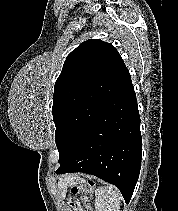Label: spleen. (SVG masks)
<instances>
[{
	"label": "spleen",
	"instance_id": "spleen-1",
	"mask_svg": "<svg viewBox=\"0 0 178 211\" xmlns=\"http://www.w3.org/2000/svg\"><path fill=\"white\" fill-rule=\"evenodd\" d=\"M120 191L112 186H101L95 191L96 211H120L121 204Z\"/></svg>",
	"mask_w": 178,
	"mask_h": 211
}]
</instances>
